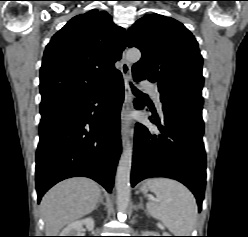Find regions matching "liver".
<instances>
[{
	"label": "liver",
	"mask_w": 248,
	"mask_h": 237,
	"mask_svg": "<svg viewBox=\"0 0 248 237\" xmlns=\"http://www.w3.org/2000/svg\"><path fill=\"white\" fill-rule=\"evenodd\" d=\"M100 195L98 184L88 178H71L51 188L41 201L46 236H57L64 226L91 213Z\"/></svg>",
	"instance_id": "1"
}]
</instances>
